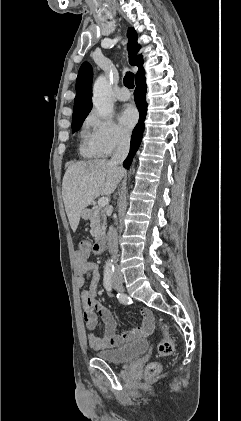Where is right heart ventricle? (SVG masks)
<instances>
[{"mask_svg": "<svg viewBox=\"0 0 241 421\" xmlns=\"http://www.w3.org/2000/svg\"><path fill=\"white\" fill-rule=\"evenodd\" d=\"M81 151L86 155H93L88 143H83Z\"/></svg>", "mask_w": 241, "mask_h": 421, "instance_id": "e07e8e85", "label": "right heart ventricle"}]
</instances>
